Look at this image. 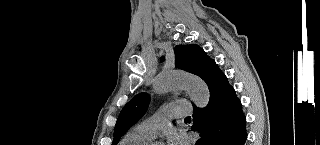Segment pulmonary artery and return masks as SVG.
Instances as JSON below:
<instances>
[{
    "label": "pulmonary artery",
    "mask_w": 320,
    "mask_h": 145,
    "mask_svg": "<svg viewBox=\"0 0 320 145\" xmlns=\"http://www.w3.org/2000/svg\"><path fill=\"white\" fill-rule=\"evenodd\" d=\"M190 113L191 110L187 107L186 101H175L159 108L154 115L139 123L135 127V130L153 139L156 136L157 130L165 125L169 119L187 116Z\"/></svg>",
    "instance_id": "1"
}]
</instances>
